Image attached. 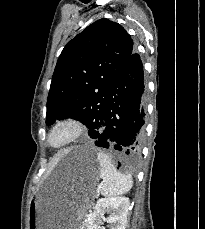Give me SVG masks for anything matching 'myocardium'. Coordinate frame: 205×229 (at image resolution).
Returning <instances> with one entry per match:
<instances>
[{
  "label": "myocardium",
  "instance_id": "obj_1",
  "mask_svg": "<svg viewBox=\"0 0 205 229\" xmlns=\"http://www.w3.org/2000/svg\"><path fill=\"white\" fill-rule=\"evenodd\" d=\"M59 130H66L67 136L58 142L54 141V136ZM84 123L75 117H66L57 120L50 128L46 143L52 149L64 148L77 141L84 133Z\"/></svg>",
  "mask_w": 205,
  "mask_h": 229
}]
</instances>
